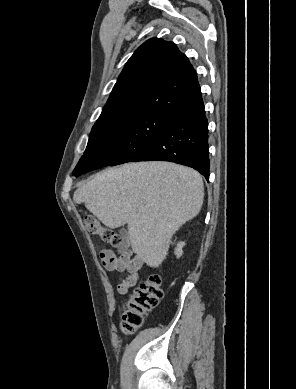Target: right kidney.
Wrapping results in <instances>:
<instances>
[{"instance_id": "1", "label": "right kidney", "mask_w": 296, "mask_h": 389, "mask_svg": "<svg viewBox=\"0 0 296 389\" xmlns=\"http://www.w3.org/2000/svg\"><path fill=\"white\" fill-rule=\"evenodd\" d=\"M184 245H185L184 242L177 243V247L175 248V252H174L177 258H180L182 256L183 254L182 248Z\"/></svg>"}]
</instances>
